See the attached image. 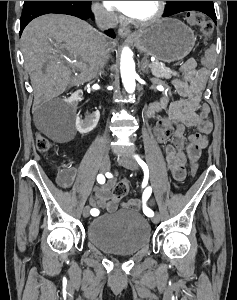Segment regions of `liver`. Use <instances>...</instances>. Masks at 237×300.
I'll use <instances>...</instances> for the list:
<instances>
[{
    "label": "liver",
    "mask_w": 237,
    "mask_h": 300,
    "mask_svg": "<svg viewBox=\"0 0 237 300\" xmlns=\"http://www.w3.org/2000/svg\"><path fill=\"white\" fill-rule=\"evenodd\" d=\"M101 43L100 33L77 17L42 15L33 19L21 35V49L35 103L43 95L55 97L68 85L77 87L94 79L102 65ZM112 45L116 47L115 41ZM72 65L80 75L71 77Z\"/></svg>",
    "instance_id": "obj_1"
}]
</instances>
